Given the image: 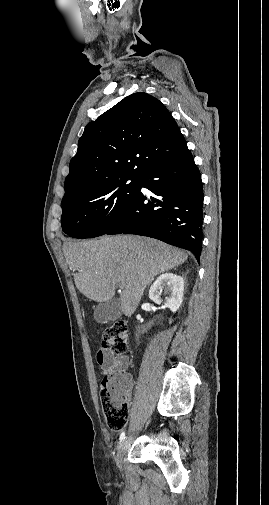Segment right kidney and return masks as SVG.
Instances as JSON below:
<instances>
[{
    "label": "right kidney",
    "instance_id": "1",
    "mask_svg": "<svg viewBox=\"0 0 269 505\" xmlns=\"http://www.w3.org/2000/svg\"><path fill=\"white\" fill-rule=\"evenodd\" d=\"M184 279L173 273L160 275L149 290V298L156 304H162L163 308H169L175 313L182 304ZM163 295H168L162 299ZM171 323V321H170Z\"/></svg>",
    "mask_w": 269,
    "mask_h": 505
}]
</instances>
